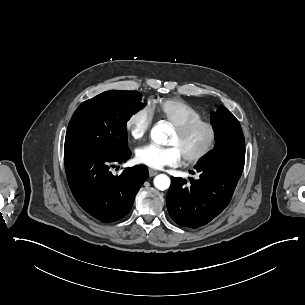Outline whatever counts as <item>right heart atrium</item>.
<instances>
[{
	"mask_svg": "<svg viewBox=\"0 0 305 305\" xmlns=\"http://www.w3.org/2000/svg\"><path fill=\"white\" fill-rule=\"evenodd\" d=\"M153 115L148 107H140L131 113L126 120V130L130 137L137 141L142 139L149 130Z\"/></svg>",
	"mask_w": 305,
	"mask_h": 305,
	"instance_id": "1",
	"label": "right heart atrium"
}]
</instances>
